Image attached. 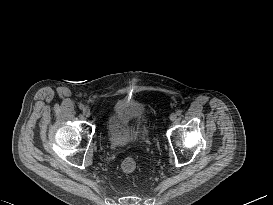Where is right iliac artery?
<instances>
[{
    "label": "right iliac artery",
    "instance_id": "1",
    "mask_svg": "<svg viewBox=\"0 0 273 205\" xmlns=\"http://www.w3.org/2000/svg\"><path fill=\"white\" fill-rule=\"evenodd\" d=\"M78 106L81 110L84 109V105L82 103H80Z\"/></svg>",
    "mask_w": 273,
    "mask_h": 205
}]
</instances>
